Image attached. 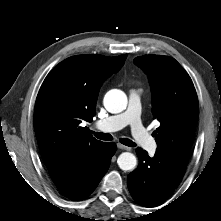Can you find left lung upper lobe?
I'll return each mask as SVG.
<instances>
[{
	"instance_id": "obj_1",
	"label": "left lung upper lobe",
	"mask_w": 221,
	"mask_h": 221,
	"mask_svg": "<svg viewBox=\"0 0 221 221\" xmlns=\"http://www.w3.org/2000/svg\"><path fill=\"white\" fill-rule=\"evenodd\" d=\"M134 63L148 75L151 85L153 117L160 122L153 132L157 151L187 162L199 116L191 78L168 56H139Z\"/></svg>"
}]
</instances>
